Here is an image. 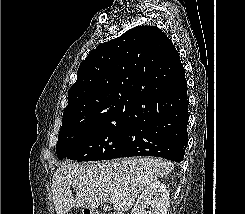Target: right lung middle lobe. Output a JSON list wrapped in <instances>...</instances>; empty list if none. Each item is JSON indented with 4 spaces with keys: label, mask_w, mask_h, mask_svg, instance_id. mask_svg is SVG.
<instances>
[{
    "label": "right lung middle lobe",
    "mask_w": 245,
    "mask_h": 214,
    "mask_svg": "<svg viewBox=\"0 0 245 214\" xmlns=\"http://www.w3.org/2000/svg\"><path fill=\"white\" fill-rule=\"evenodd\" d=\"M134 116L90 123L80 118H62L56 153L60 160H110L118 156Z\"/></svg>",
    "instance_id": "obj_1"
}]
</instances>
